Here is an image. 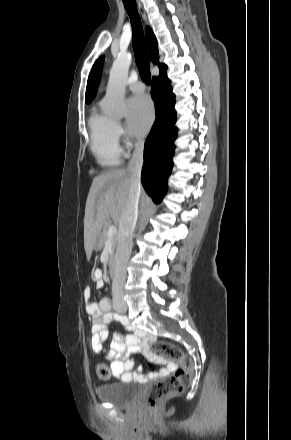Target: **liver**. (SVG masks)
Here are the masks:
<instances>
[{"label":"liver","instance_id":"obj_1","mask_svg":"<svg viewBox=\"0 0 291 440\" xmlns=\"http://www.w3.org/2000/svg\"><path fill=\"white\" fill-rule=\"evenodd\" d=\"M130 175L125 169L107 171L93 179L86 201L84 247L90 259L109 218L119 223L130 193Z\"/></svg>","mask_w":291,"mask_h":440}]
</instances>
